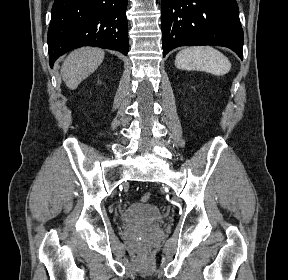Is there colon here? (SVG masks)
I'll use <instances>...</instances> for the list:
<instances>
[{"label":"colon","instance_id":"colon-1","mask_svg":"<svg viewBox=\"0 0 288 280\" xmlns=\"http://www.w3.org/2000/svg\"><path fill=\"white\" fill-rule=\"evenodd\" d=\"M142 201L144 203H148L151 201V194L150 193H145L143 196H142Z\"/></svg>","mask_w":288,"mask_h":280}]
</instances>
